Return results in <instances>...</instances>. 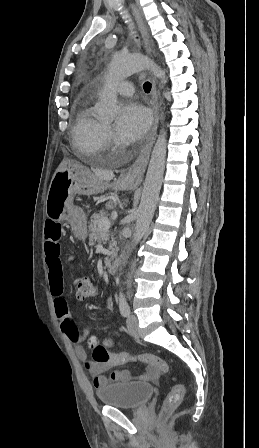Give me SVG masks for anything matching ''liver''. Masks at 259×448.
Listing matches in <instances>:
<instances>
[{
  "instance_id": "6515ba94",
  "label": "liver",
  "mask_w": 259,
  "mask_h": 448,
  "mask_svg": "<svg viewBox=\"0 0 259 448\" xmlns=\"http://www.w3.org/2000/svg\"><path fill=\"white\" fill-rule=\"evenodd\" d=\"M58 170H59V172H62V170H63V164H61V166H59Z\"/></svg>"
}]
</instances>
